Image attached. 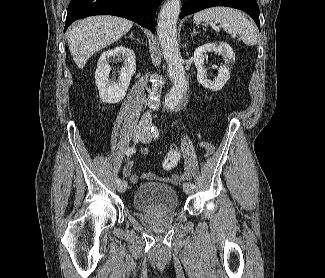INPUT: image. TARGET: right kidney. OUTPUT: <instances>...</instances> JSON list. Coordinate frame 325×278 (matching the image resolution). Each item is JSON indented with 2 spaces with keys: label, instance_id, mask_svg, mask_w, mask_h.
<instances>
[{
  "label": "right kidney",
  "instance_id": "obj_1",
  "mask_svg": "<svg viewBox=\"0 0 325 278\" xmlns=\"http://www.w3.org/2000/svg\"><path fill=\"white\" fill-rule=\"evenodd\" d=\"M124 57V66L120 70L118 83L108 80L111 67L109 61L112 57ZM136 72V58L133 50L120 45L102 53L95 71V84L99 97L104 103H118L126 95L131 77Z\"/></svg>",
  "mask_w": 325,
  "mask_h": 278
}]
</instances>
